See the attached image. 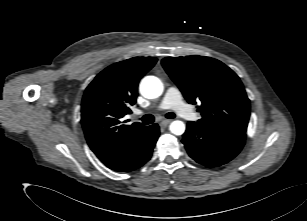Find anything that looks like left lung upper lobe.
Instances as JSON below:
<instances>
[{"label":"left lung upper lobe","instance_id":"obj_1","mask_svg":"<svg viewBox=\"0 0 307 221\" xmlns=\"http://www.w3.org/2000/svg\"><path fill=\"white\" fill-rule=\"evenodd\" d=\"M162 65L185 99L196 104L199 124L246 132L250 101L239 77L225 64L210 57H166Z\"/></svg>","mask_w":307,"mask_h":221}]
</instances>
